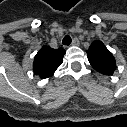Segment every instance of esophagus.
Masks as SVG:
<instances>
[{"label":"esophagus","mask_w":127,"mask_h":127,"mask_svg":"<svg viewBox=\"0 0 127 127\" xmlns=\"http://www.w3.org/2000/svg\"><path fill=\"white\" fill-rule=\"evenodd\" d=\"M79 44H80V42H79L78 38H76V37L71 42V45H74V46H78Z\"/></svg>","instance_id":"esophagus-1"}]
</instances>
